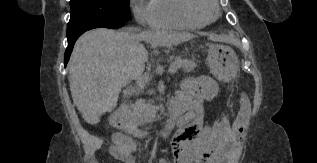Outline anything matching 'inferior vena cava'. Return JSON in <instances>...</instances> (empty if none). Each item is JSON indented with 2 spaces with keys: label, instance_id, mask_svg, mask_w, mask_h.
<instances>
[{
  "label": "inferior vena cava",
  "instance_id": "1",
  "mask_svg": "<svg viewBox=\"0 0 317 163\" xmlns=\"http://www.w3.org/2000/svg\"><path fill=\"white\" fill-rule=\"evenodd\" d=\"M125 94H131V91L130 90H126Z\"/></svg>",
  "mask_w": 317,
  "mask_h": 163
}]
</instances>
